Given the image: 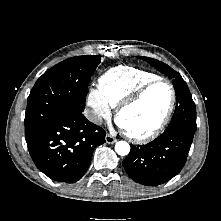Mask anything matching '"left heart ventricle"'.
I'll return each instance as SVG.
<instances>
[{
  "label": "left heart ventricle",
  "instance_id": "b2bd125f",
  "mask_svg": "<svg viewBox=\"0 0 221 221\" xmlns=\"http://www.w3.org/2000/svg\"><path fill=\"white\" fill-rule=\"evenodd\" d=\"M171 99L170 88L165 83L150 87L139 102L121 114L124 128L134 134L152 131L164 117Z\"/></svg>",
  "mask_w": 221,
  "mask_h": 221
}]
</instances>
